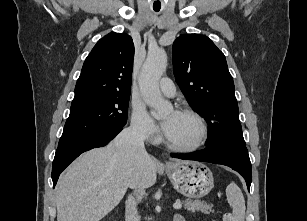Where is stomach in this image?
I'll return each mask as SVG.
<instances>
[{"label":"stomach","instance_id":"0dacf381","mask_svg":"<svg viewBox=\"0 0 307 221\" xmlns=\"http://www.w3.org/2000/svg\"><path fill=\"white\" fill-rule=\"evenodd\" d=\"M173 186L183 195L200 198L207 195L214 186L211 170L196 161H174L166 167Z\"/></svg>","mask_w":307,"mask_h":221}]
</instances>
